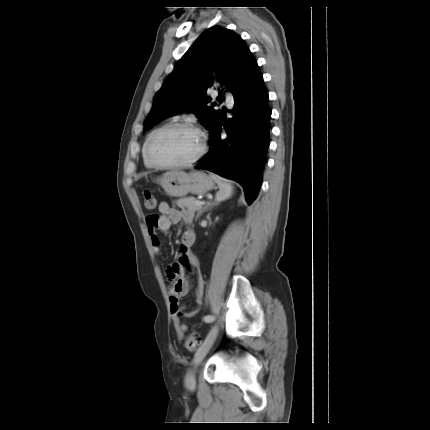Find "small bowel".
I'll return each mask as SVG.
<instances>
[{
  "instance_id": "1",
  "label": "small bowel",
  "mask_w": 430,
  "mask_h": 430,
  "mask_svg": "<svg viewBox=\"0 0 430 430\" xmlns=\"http://www.w3.org/2000/svg\"><path fill=\"white\" fill-rule=\"evenodd\" d=\"M160 215L150 216L146 220L148 234L151 239L152 249L156 255L160 253V242L157 236V230L166 232L172 224L184 221L189 224L193 220V213L184 210L172 208L167 202H161L158 206ZM195 241V233L192 229H186L181 238L180 253L177 261L168 266L167 276L170 280V307L171 319L176 330L179 340L188 331V326L182 322V316L191 318L197 314V309L184 313L185 305L181 304L190 289V283L185 275L188 269L196 274L195 303L201 305L204 293V281L200 273L199 260L191 251Z\"/></svg>"
}]
</instances>
